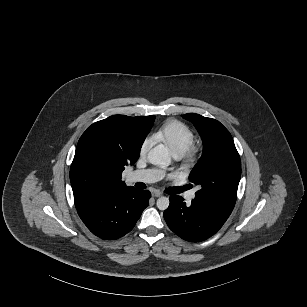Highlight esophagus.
<instances>
[{
	"instance_id": "obj_1",
	"label": "esophagus",
	"mask_w": 307,
	"mask_h": 307,
	"mask_svg": "<svg viewBox=\"0 0 307 307\" xmlns=\"http://www.w3.org/2000/svg\"><path fill=\"white\" fill-rule=\"evenodd\" d=\"M163 194L160 192V191H158V190H155L153 193H152V196L153 197H156V198H158V197H160V196H162Z\"/></svg>"
}]
</instances>
